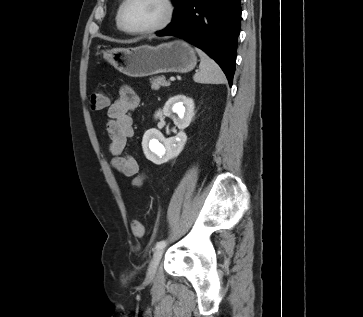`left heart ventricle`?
Instances as JSON below:
<instances>
[{"instance_id":"left-heart-ventricle-1","label":"left heart ventricle","mask_w":363,"mask_h":317,"mask_svg":"<svg viewBox=\"0 0 363 317\" xmlns=\"http://www.w3.org/2000/svg\"><path fill=\"white\" fill-rule=\"evenodd\" d=\"M164 15L161 0H130L124 10V23L130 29H143L158 24Z\"/></svg>"}]
</instances>
